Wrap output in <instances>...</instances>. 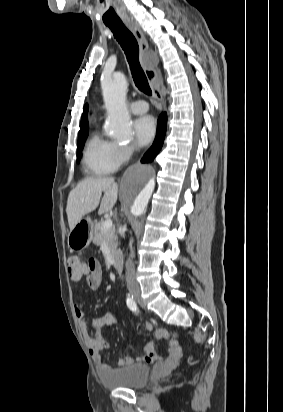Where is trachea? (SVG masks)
<instances>
[{
	"label": "trachea",
	"mask_w": 283,
	"mask_h": 412,
	"mask_svg": "<svg viewBox=\"0 0 283 412\" xmlns=\"http://www.w3.org/2000/svg\"><path fill=\"white\" fill-rule=\"evenodd\" d=\"M125 52L136 87L147 95H152L147 77L139 62V46L134 35L122 22L106 24Z\"/></svg>",
	"instance_id": "obj_1"
}]
</instances>
